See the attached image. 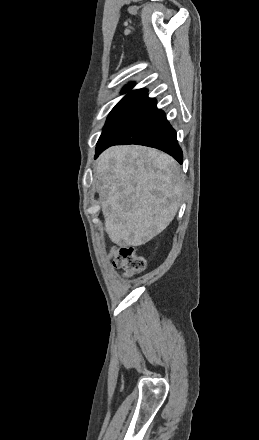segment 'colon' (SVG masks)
Here are the masks:
<instances>
[{"instance_id":"1","label":"colon","mask_w":259,"mask_h":440,"mask_svg":"<svg viewBox=\"0 0 259 440\" xmlns=\"http://www.w3.org/2000/svg\"><path fill=\"white\" fill-rule=\"evenodd\" d=\"M110 257L113 264L122 268L126 276H133L144 270V257L136 254L134 247L129 245L118 246L112 249Z\"/></svg>"}]
</instances>
